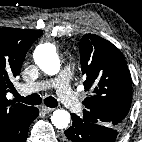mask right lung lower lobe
<instances>
[{
	"mask_svg": "<svg viewBox=\"0 0 142 142\" xmlns=\"http://www.w3.org/2000/svg\"><path fill=\"white\" fill-rule=\"evenodd\" d=\"M39 110L35 107L32 108L29 119L26 123L21 127L19 132L16 134L15 138L10 140L9 142H25L28 134V129L32 121L38 116Z\"/></svg>",
	"mask_w": 142,
	"mask_h": 142,
	"instance_id": "1",
	"label": "right lung lower lobe"
}]
</instances>
